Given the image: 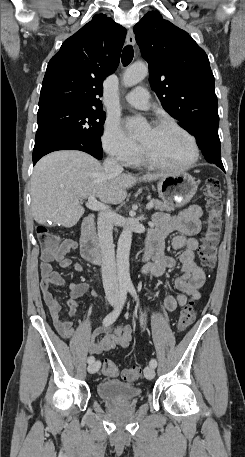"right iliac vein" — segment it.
Instances as JSON below:
<instances>
[{"label": "right iliac vein", "mask_w": 245, "mask_h": 457, "mask_svg": "<svg viewBox=\"0 0 245 457\" xmlns=\"http://www.w3.org/2000/svg\"><path fill=\"white\" fill-rule=\"evenodd\" d=\"M117 301H118V298L116 296H111L110 304L112 306L116 305ZM100 366H101V362L99 360L90 363L88 366L89 373H91V374L96 373L99 370Z\"/></svg>", "instance_id": "1"}]
</instances>
